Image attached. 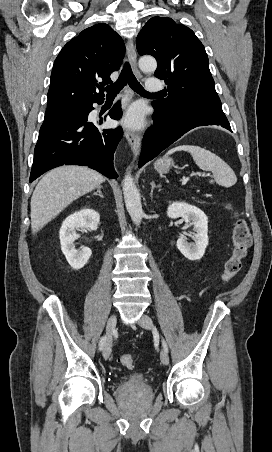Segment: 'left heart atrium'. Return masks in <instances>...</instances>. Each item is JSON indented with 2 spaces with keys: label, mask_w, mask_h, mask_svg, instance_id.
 <instances>
[{
  "label": "left heart atrium",
  "mask_w": 272,
  "mask_h": 452,
  "mask_svg": "<svg viewBox=\"0 0 272 452\" xmlns=\"http://www.w3.org/2000/svg\"><path fill=\"white\" fill-rule=\"evenodd\" d=\"M122 123L124 126L132 129L141 127L143 124V112L141 108L137 106L131 107L126 113Z\"/></svg>",
  "instance_id": "obj_1"
}]
</instances>
